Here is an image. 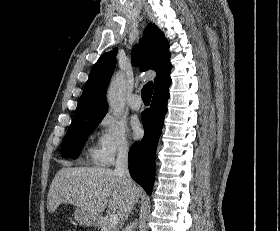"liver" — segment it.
Wrapping results in <instances>:
<instances>
[{
    "mask_svg": "<svg viewBox=\"0 0 280 231\" xmlns=\"http://www.w3.org/2000/svg\"><path fill=\"white\" fill-rule=\"evenodd\" d=\"M142 193V187L129 185L110 167H62L50 185L47 209L53 213L60 203H72L100 219L107 205L125 221Z\"/></svg>",
    "mask_w": 280,
    "mask_h": 231,
    "instance_id": "6515ba94",
    "label": "liver"
}]
</instances>
